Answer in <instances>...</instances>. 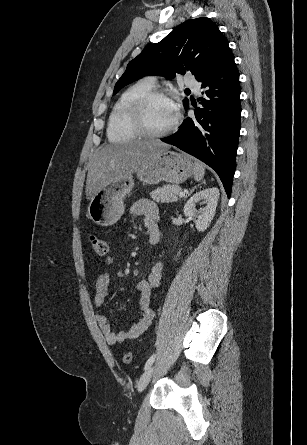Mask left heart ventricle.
I'll list each match as a JSON object with an SVG mask.
<instances>
[{
	"label": "left heart ventricle",
	"mask_w": 307,
	"mask_h": 445,
	"mask_svg": "<svg viewBox=\"0 0 307 445\" xmlns=\"http://www.w3.org/2000/svg\"><path fill=\"white\" fill-rule=\"evenodd\" d=\"M175 118V112L169 101L157 99L152 101L146 109V120L149 128L155 132L164 131Z\"/></svg>",
	"instance_id": "1"
}]
</instances>
